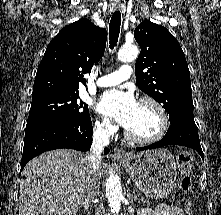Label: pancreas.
Masks as SVG:
<instances>
[{
  "label": "pancreas",
  "mask_w": 221,
  "mask_h": 215,
  "mask_svg": "<svg viewBox=\"0 0 221 215\" xmlns=\"http://www.w3.org/2000/svg\"><path fill=\"white\" fill-rule=\"evenodd\" d=\"M137 197H138V202L139 204H143V205H149V200L143 196H141L140 193L137 194Z\"/></svg>",
  "instance_id": "obj_1"
}]
</instances>
